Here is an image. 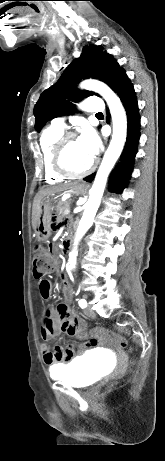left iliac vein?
Here are the masks:
<instances>
[{"instance_id":"1","label":"left iliac vein","mask_w":165,"mask_h":461,"mask_svg":"<svg viewBox=\"0 0 165 461\" xmlns=\"http://www.w3.org/2000/svg\"><path fill=\"white\" fill-rule=\"evenodd\" d=\"M84 313L86 316L90 317V318H95L96 317V313L94 310H92L90 307L86 308L84 310Z\"/></svg>"}]
</instances>
